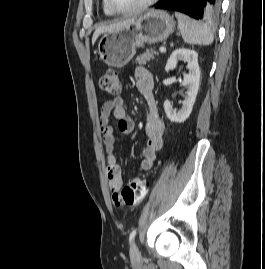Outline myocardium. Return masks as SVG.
Listing matches in <instances>:
<instances>
[{
  "mask_svg": "<svg viewBox=\"0 0 265 269\" xmlns=\"http://www.w3.org/2000/svg\"><path fill=\"white\" fill-rule=\"evenodd\" d=\"M157 1L158 0H146L142 4H140V5L136 6V7H133V8H129V9H119V8H117L114 5L113 0H107V3L109 5L110 9L114 13H118V14H129V13H138V12L144 11L145 9L149 8L150 6H152Z\"/></svg>",
  "mask_w": 265,
  "mask_h": 269,
  "instance_id": "1",
  "label": "myocardium"
}]
</instances>
